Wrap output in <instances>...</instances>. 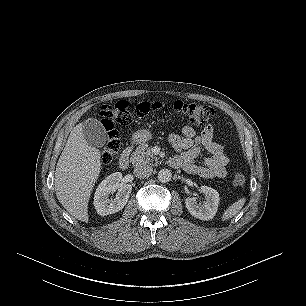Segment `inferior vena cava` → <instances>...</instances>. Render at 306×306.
Masks as SVG:
<instances>
[{
	"label": "inferior vena cava",
	"mask_w": 306,
	"mask_h": 306,
	"mask_svg": "<svg viewBox=\"0 0 306 306\" xmlns=\"http://www.w3.org/2000/svg\"><path fill=\"white\" fill-rule=\"evenodd\" d=\"M153 172V168L149 165H139L134 169V175L138 178L149 177Z\"/></svg>",
	"instance_id": "1"
}]
</instances>
